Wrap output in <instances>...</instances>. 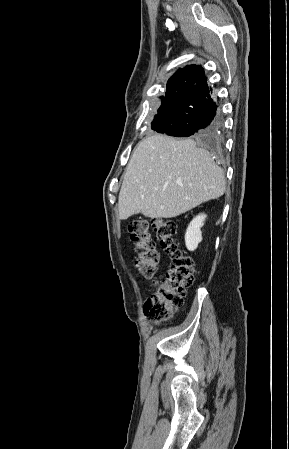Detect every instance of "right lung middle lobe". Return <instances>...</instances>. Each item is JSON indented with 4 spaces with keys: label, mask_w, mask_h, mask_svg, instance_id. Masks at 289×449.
<instances>
[{
    "label": "right lung middle lobe",
    "mask_w": 289,
    "mask_h": 449,
    "mask_svg": "<svg viewBox=\"0 0 289 449\" xmlns=\"http://www.w3.org/2000/svg\"><path fill=\"white\" fill-rule=\"evenodd\" d=\"M162 105L158 110V114L154 117L152 122V129L161 133V131L170 125L172 119V111L168 101V95L161 97Z\"/></svg>",
    "instance_id": "dd1d6c3e"
}]
</instances>
